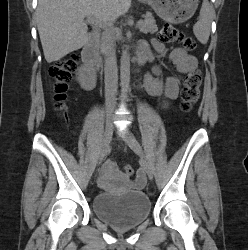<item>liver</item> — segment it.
I'll use <instances>...</instances> for the list:
<instances>
[{
  "mask_svg": "<svg viewBox=\"0 0 248 250\" xmlns=\"http://www.w3.org/2000/svg\"><path fill=\"white\" fill-rule=\"evenodd\" d=\"M130 7L131 0H39L36 21L46 61H57L88 43L86 16L108 24Z\"/></svg>",
  "mask_w": 248,
  "mask_h": 250,
  "instance_id": "obj_1",
  "label": "liver"
}]
</instances>
